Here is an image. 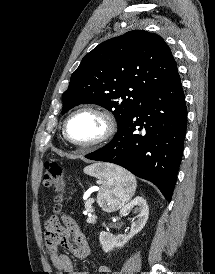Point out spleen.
Segmentation results:
<instances>
[{"instance_id": "3e777b00", "label": "spleen", "mask_w": 215, "mask_h": 274, "mask_svg": "<svg viewBox=\"0 0 215 274\" xmlns=\"http://www.w3.org/2000/svg\"><path fill=\"white\" fill-rule=\"evenodd\" d=\"M84 172L103 181L97 198L99 205L107 212L122 208L135 193V177L121 167L93 164L85 167Z\"/></svg>"}]
</instances>
